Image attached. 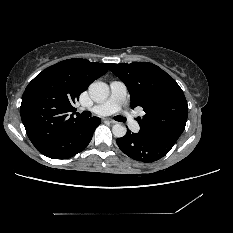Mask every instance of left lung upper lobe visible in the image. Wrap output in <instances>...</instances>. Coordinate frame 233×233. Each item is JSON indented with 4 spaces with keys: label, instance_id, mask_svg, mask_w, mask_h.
Returning <instances> with one entry per match:
<instances>
[{
    "label": "left lung upper lobe",
    "instance_id": "1",
    "mask_svg": "<svg viewBox=\"0 0 233 233\" xmlns=\"http://www.w3.org/2000/svg\"><path fill=\"white\" fill-rule=\"evenodd\" d=\"M130 93L131 107L141 106L146 114L138 118L139 133L175 144L185 129L188 105L177 82L149 62L110 64Z\"/></svg>",
    "mask_w": 233,
    "mask_h": 233
}]
</instances>
